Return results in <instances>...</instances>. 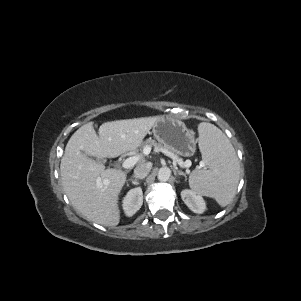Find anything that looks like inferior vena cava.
Listing matches in <instances>:
<instances>
[{
    "label": "inferior vena cava",
    "mask_w": 301,
    "mask_h": 301,
    "mask_svg": "<svg viewBox=\"0 0 301 301\" xmlns=\"http://www.w3.org/2000/svg\"><path fill=\"white\" fill-rule=\"evenodd\" d=\"M150 170L151 165L149 163L141 164L134 169V176L137 179H143L148 175Z\"/></svg>",
    "instance_id": "obj_1"
}]
</instances>
